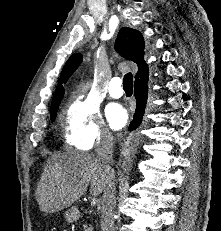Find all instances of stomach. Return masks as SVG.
Masks as SVG:
<instances>
[{"mask_svg": "<svg viewBox=\"0 0 221 231\" xmlns=\"http://www.w3.org/2000/svg\"><path fill=\"white\" fill-rule=\"evenodd\" d=\"M64 217L68 222H73L77 219V210L75 208L68 209L64 213Z\"/></svg>", "mask_w": 221, "mask_h": 231, "instance_id": "stomach-1", "label": "stomach"}]
</instances>
